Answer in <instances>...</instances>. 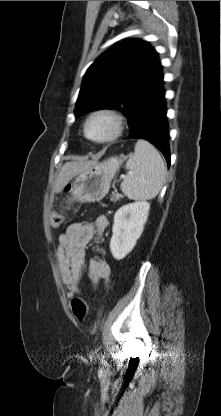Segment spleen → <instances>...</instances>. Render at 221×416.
Instances as JSON below:
<instances>
[{
    "label": "spleen",
    "mask_w": 221,
    "mask_h": 416,
    "mask_svg": "<svg viewBox=\"0 0 221 416\" xmlns=\"http://www.w3.org/2000/svg\"><path fill=\"white\" fill-rule=\"evenodd\" d=\"M129 170L121 191L132 200H149L158 195L165 181L166 168L159 152L146 140H138L126 163Z\"/></svg>",
    "instance_id": "spleen-1"
}]
</instances>
